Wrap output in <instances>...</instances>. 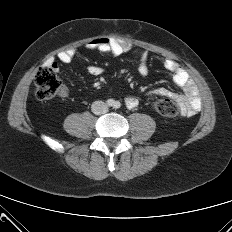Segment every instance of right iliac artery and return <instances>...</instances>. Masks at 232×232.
I'll list each match as a JSON object with an SVG mask.
<instances>
[{"label": "right iliac artery", "mask_w": 232, "mask_h": 232, "mask_svg": "<svg viewBox=\"0 0 232 232\" xmlns=\"http://www.w3.org/2000/svg\"><path fill=\"white\" fill-rule=\"evenodd\" d=\"M106 103H107L108 106H113L114 105V100L113 99H108L106 101Z\"/></svg>", "instance_id": "1"}]
</instances>
